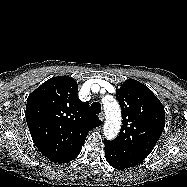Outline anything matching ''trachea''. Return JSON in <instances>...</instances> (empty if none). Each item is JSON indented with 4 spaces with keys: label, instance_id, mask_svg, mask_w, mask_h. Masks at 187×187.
I'll use <instances>...</instances> for the list:
<instances>
[{
    "label": "trachea",
    "instance_id": "1",
    "mask_svg": "<svg viewBox=\"0 0 187 187\" xmlns=\"http://www.w3.org/2000/svg\"><path fill=\"white\" fill-rule=\"evenodd\" d=\"M91 110L95 113V114H99L101 111V104L99 102H93L91 104Z\"/></svg>",
    "mask_w": 187,
    "mask_h": 187
}]
</instances>
